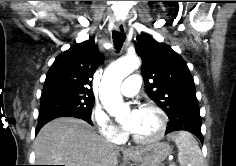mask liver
<instances>
[{
  "label": "liver",
  "mask_w": 236,
  "mask_h": 166,
  "mask_svg": "<svg viewBox=\"0 0 236 166\" xmlns=\"http://www.w3.org/2000/svg\"><path fill=\"white\" fill-rule=\"evenodd\" d=\"M36 165L117 166L119 150L85 121L71 117L47 123L34 141Z\"/></svg>",
  "instance_id": "obj_1"
}]
</instances>
